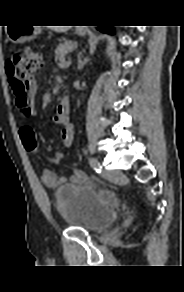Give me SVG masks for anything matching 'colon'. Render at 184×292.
I'll list each match as a JSON object with an SVG mask.
<instances>
[{
  "instance_id": "5ec220e1",
  "label": "colon",
  "mask_w": 184,
  "mask_h": 292,
  "mask_svg": "<svg viewBox=\"0 0 184 292\" xmlns=\"http://www.w3.org/2000/svg\"><path fill=\"white\" fill-rule=\"evenodd\" d=\"M42 64L43 57L40 53L24 48L16 51L6 65L11 87L18 94L20 107L29 118H32L37 112V92L31 86V82ZM20 137L27 152L48 162L61 161L63 157L61 153H51L39 147L31 127L23 128Z\"/></svg>"
}]
</instances>
